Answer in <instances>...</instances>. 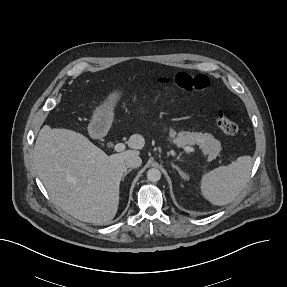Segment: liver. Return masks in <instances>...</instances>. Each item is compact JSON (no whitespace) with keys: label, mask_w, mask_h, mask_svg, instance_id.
Returning <instances> with one entry per match:
<instances>
[{"label":"liver","mask_w":287,"mask_h":287,"mask_svg":"<svg viewBox=\"0 0 287 287\" xmlns=\"http://www.w3.org/2000/svg\"><path fill=\"white\" fill-rule=\"evenodd\" d=\"M127 144L132 150L108 156L80 133L45 125L34 146V161L53 203L80 221L109 223L118 210L125 161L139 155L144 139L135 134Z\"/></svg>","instance_id":"obj_1"}]
</instances>
